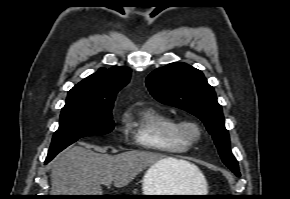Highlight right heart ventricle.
<instances>
[{
  "mask_svg": "<svg viewBox=\"0 0 290 199\" xmlns=\"http://www.w3.org/2000/svg\"><path fill=\"white\" fill-rule=\"evenodd\" d=\"M127 129L141 147L176 155L189 150L188 142L174 133L175 120L155 108L147 107L126 118Z\"/></svg>",
  "mask_w": 290,
  "mask_h": 199,
  "instance_id": "right-heart-ventricle-1",
  "label": "right heart ventricle"
}]
</instances>
